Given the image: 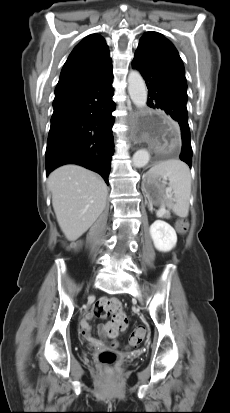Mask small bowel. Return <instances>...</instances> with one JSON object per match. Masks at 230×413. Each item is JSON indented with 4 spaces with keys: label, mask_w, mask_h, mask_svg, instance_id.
Segmentation results:
<instances>
[{
    "label": "small bowel",
    "mask_w": 230,
    "mask_h": 413,
    "mask_svg": "<svg viewBox=\"0 0 230 413\" xmlns=\"http://www.w3.org/2000/svg\"><path fill=\"white\" fill-rule=\"evenodd\" d=\"M92 316L93 314L90 313L82 321L81 323L82 335L90 343L94 345H98L100 344V340L92 336L91 328L89 324L90 320L92 319ZM127 327H128V318L124 313H122L121 315L117 316L115 319H111L110 321L103 324L100 327V332L102 334H106L110 338H115L120 332L125 331Z\"/></svg>",
    "instance_id": "c3829d8e"
}]
</instances>
